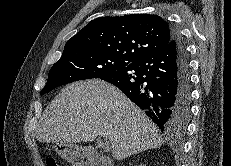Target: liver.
<instances>
[{"instance_id":"6515ba94","label":"liver","mask_w":231,"mask_h":166,"mask_svg":"<svg viewBox=\"0 0 231 166\" xmlns=\"http://www.w3.org/2000/svg\"><path fill=\"white\" fill-rule=\"evenodd\" d=\"M97 137L109 139L116 160L164 143L149 117L100 79L65 86L44 111L36 131L43 143L91 142Z\"/></svg>"}]
</instances>
